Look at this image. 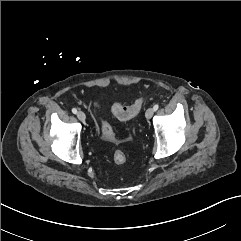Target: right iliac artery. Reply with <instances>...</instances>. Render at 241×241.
Listing matches in <instances>:
<instances>
[{
    "label": "right iliac artery",
    "instance_id": "82829eb1",
    "mask_svg": "<svg viewBox=\"0 0 241 241\" xmlns=\"http://www.w3.org/2000/svg\"><path fill=\"white\" fill-rule=\"evenodd\" d=\"M72 112H73L74 114H76V113H77V109H76V108H73V109H72Z\"/></svg>",
    "mask_w": 241,
    "mask_h": 241
}]
</instances>
